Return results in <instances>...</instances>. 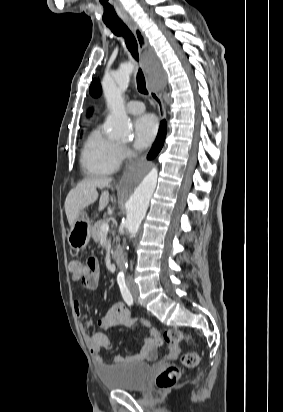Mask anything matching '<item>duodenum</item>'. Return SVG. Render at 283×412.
<instances>
[{"label": "duodenum", "mask_w": 283, "mask_h": 412, "mask_svg": "<svg viewBox=\"0 0 283 412\" xmlns=\"http://www.w3.org/2000/svg\"><path fill=\"white\" fill-rule=\"evenodd\" d=\"M112 260L117 266H121L123 261L122 251L120 248H116L112 253Z\"/></svg>", "instance_id": "duodenum-1"}]
</instances>
